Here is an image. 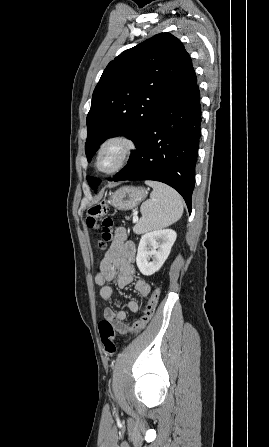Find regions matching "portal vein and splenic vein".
<instances>
[{
	"instance_id": "obj_1",
	"label": "portal vein and splenic vein",
	"mask_w": 269,
	"mask_h": 447,
	"mask_svg": "<svg viewBox=\"0 0 269 447\" xmlns=\"http://www.w3.org/2000/svg\"><path fill=\"white\" fill-rule=\"evenodd\" d=\"M138 220H139V218H138L137 214H136V216H133V224H135V222H138Z\"/></svg>"
}]
</instances>
